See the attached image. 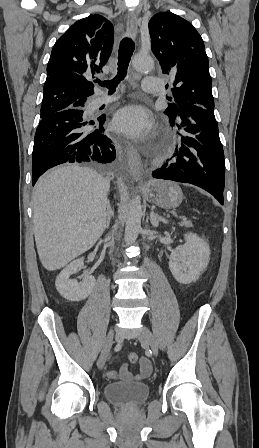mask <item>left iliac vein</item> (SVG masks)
I'll use <instances>...</instances> for the list:
<instances>
[{"label": "left iliac vein", "instance_id": "obj_1", "mask_svg": "<svg viewBox=\"0 0 259 448\" xmlns=\"http://www.w3.org/2000/svg\"><path fill=\"white\" fill-rule=\"evenodd\" d=\"M138 338L142 343L147 344L151 348L154 356L158 355V345L156 339L152 332L146 326H143L140 329Z\"/></svg>", "mask_w": 259, "mask_h": 448}]
</instances>
